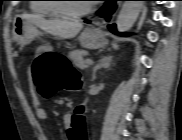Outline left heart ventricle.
Wrapping results in <instances>:
<instances>
[{"instance_id": "obj_1", "label": "left heart ventricle", "mask_w": 182, "mask_h": 140, "mask_svg": "<svg viewBox=\"0 0 182 140\" xmlns=\"http://www.w3.org/2000/svg\"><path fill=\"white\" fill-rule=\"evenodd\" d=\"M84 2L85 1L70 0V1H67L65 6L70 11H79L87 5V3H84Z\"/></svg>"}]
</instances>
